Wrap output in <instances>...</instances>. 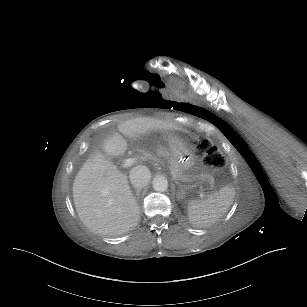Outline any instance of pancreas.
<instances>
[{"label":"pancreas","mask_w":307,"mask_h":307,"mask_svg":"<svg viewBox=\"0 0 307 307\" xmlns=\"http://www.w3.org/2000/svg\"><path fill=\"white\" fill-rule=\"evenodd\" d=\"M168 159L172 163L171 164L172 171L176 173L178 177H183L185 175V172L183 170H179L178 168L179 163L177 162V158L173 154H170L168 156Z\"/></svg>","instance_id":"pancreas-1"}]
</instances>
